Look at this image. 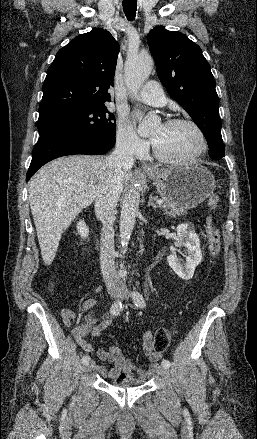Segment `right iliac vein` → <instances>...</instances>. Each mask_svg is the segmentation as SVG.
Here are the masks:
<instances>
[{
	"instance_id": "1",
	"label": "right iliac vein",
	"mask_w": 257,
	"mask_h": 439,
	"mask_svg": "<svg viewBox=\"0 0 257 439\" xmlns=\"http://www.w3.org/2000/svg\"><path fill=\"white\" fill-rule=\"evenodd\" d=\"M110 295L112 297H116L117 293L116 292H111ZM83 369H84L85 372L90 371L92 369V362H88V363L84 364Z\"/></svg>"
}]
</instances>
